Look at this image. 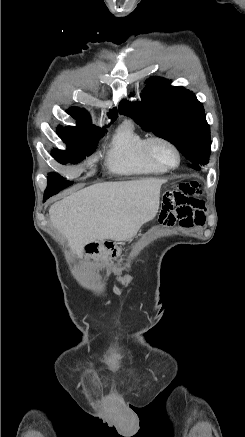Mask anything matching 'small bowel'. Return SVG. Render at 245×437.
<instances>
[{
    "label": "small bowel",
    "instance_id": "small-bowel-1",
    "mask_svg": "<svg viewBox=\"0 0 245 437\" xmlns=\"http://www.w3.org/2000/svg\"><path fill=\"white\" fill-rule=\"evenodd\" d=\"M177 190L169 192L163 199V208H159L157 222L174 229L176 221L184 228L198 229L206 219V208L203 200L195 196L198 183H178Z\"/></svg>",
    "mask_w": 245,
    "mask_h": 437
}]
</instances>
